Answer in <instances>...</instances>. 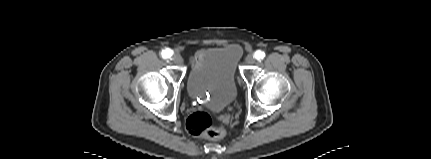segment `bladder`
<instances>
[{
	"mask_svg": "<svg viewBox=\"0 0 431 159\" xmlns=\"http://www.w3.org/2000/svg\"><path fill=\"white\" fill-rule=\"evenodd\" d=\"M241 49L236 44L209 48L191 68L187 91L212 111L227 109L237 97L236 68Z\"/></svg>",
	"mask_w": 431,
	"mask_h": 159,
	"instance_id": "31cf9c89",
	"label": "bladder"
}]
</instances>
